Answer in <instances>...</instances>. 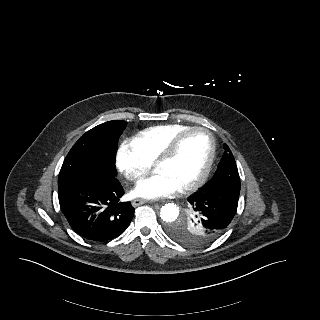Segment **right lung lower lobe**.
I'll use <instances>...</instances> for the list:
<instances>
[{
    "label": "right lung lower lobe",
    "instance_id": "98d812e1",
    "mask_svg": "<svg viewBox=\"0 0 320 320\" xmlns=\"http://www.w3.org/2000/svg\"><path fill=\"white\" fill-rule=\"evenodd\" d=\"M124 190L115 177L92 174L58 186L61 210L71 228L83 238L105 242L121 235L135 209L121 202Z\"/></svg>",
    "mask_w": 320,
    "mask_h": 320
}]
</instances>
